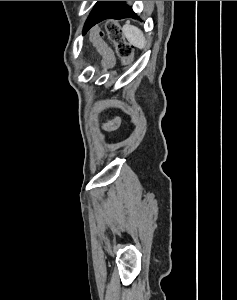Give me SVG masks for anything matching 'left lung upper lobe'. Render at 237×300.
Segmentation results:
<instances>
[{
	"label": "left lung upper lobe",
	"instance_id": "5c2ea615",
	"mask_svg": "<svg viewBox=\"0 0 237 300\" xmlns=\"http://www.w3.org/2000/svg\"><path fill=\"white\" fill-rule=\"evenodd\" d=\"M109 3V1H98L95 5V7L93 8V10L91 11L88 19L86 20V23L84 25V29H83V34H85L88 31L89 28V24L90 22L95 19L101 12L102 10L106 7V5ZM129 9L132 10L131 7L127 6ZM133 11V10H132ZM136 15V14H135ZM135 15L131 18H135ZM138 18V17H137Z\"/></svg>",
	"mask_w": 237,
	"mask_h": 300
}]
</instances>
